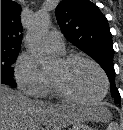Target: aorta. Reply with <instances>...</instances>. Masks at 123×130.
Here are the masks:
<instances>
[{"label":"aorta","instance_id":"aorta-1","mask_svg":"<svg viewBox=\"0 0 123 130\" xmlns=\"http://www.w3.org/2000/svg\"><path fill=\"white\" fill-rule=\"evenodd\" d=\"M49 26L50 14L46 10H39L34 14L25 36L26 47L44 67L54 62V56L46 42Z\"/></svg>","mask_w":123,"mask_h":130}]
</instances>
